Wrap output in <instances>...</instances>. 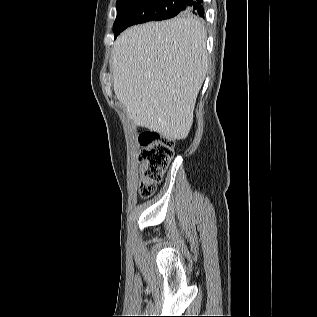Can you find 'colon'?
<instances>
[{"label": "colon", "mask_w": 317, "mask_h": 317, "mask_svg": "<svg viewBox=\"0 0 317 317\" xmlns=\"http://www.w3.org/2000/svg\"><path fill=\"white\" fill-rule=\"evenodd\" d=\"M143 151L141 161V197H150L159 183L174 155V140L156 131L148 130L140 134Z\"/></svg>", "instance_id": "5ec220e1"}]
</instances>
